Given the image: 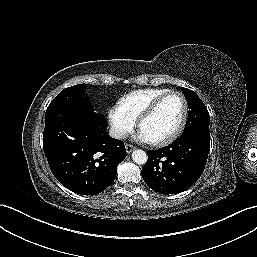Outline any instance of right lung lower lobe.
Segmentation results:
<instances>
[{"instance_id":"1","label":"right lung lower lobe","mask_w":257,"mask_h":257,"mask_svg":"<svg viewBox=\"0 0 257 257\" xmlns=\"http://www.w3.org/2000/svg\"><path fill=\"white\" fill-rule=\"evenodd\" d=\"M107 121L93 107L60 105L45 114L43 148L52 174L67 189L97 195L110 186L126 157L123 142L111 138Z\"/></svg>"}]
</instances>
